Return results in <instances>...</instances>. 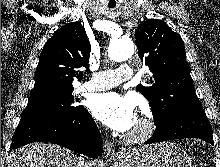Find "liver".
Instances as JSON below:
<instances>
[{"mask_svg":"<svg viewBox=\"0 0 220 167\" xmlns=\"http://www.w3.org/2000/svg\"><path fill=\"white\" fill-rule=\"evenodd\" d=\"M78 159L58 145L35 142L14 150L6 167H76ZM92 167H100V162L94 160Z\"/></svg>","mask_w":220,"mask_h":167,"instance_id":"liver-1","label":"liver"}]
</instances>
